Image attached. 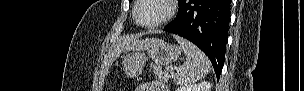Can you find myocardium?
<instances>
[{
  "label": "myocardium",
  "mask_w": 304,
  "mask_h": 91,
  "mask_svg": "<svg viewBox=\"0 0 304 91\" xmlns=\"http://www.w3.org/2000/svg\"><path fill=\"white\" fill-rule=\"evenodd\" d=\"M161 1L167 6V12L161 19L151 24H142L138 20V10L142 5V3L144 2V0L136 1V5L133 11V19L135 23L142 28L151 29V28L160 27L171 21L178 12V5H177L178 2L176 0H161Z\"/></svg>",
  "instance_id": "f54148a6"
}]
</instances>
